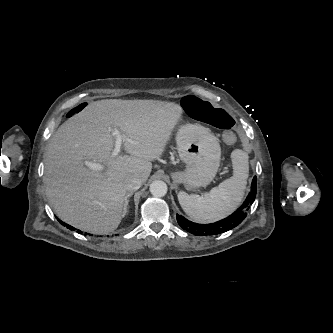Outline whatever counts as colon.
<instances>
[{"label": "colon", "mask_w": 333, "mask_h": 333, "mask_svg": "<svg viewBox=\"0 0 333 333\" xmlns=\"http://www.w3.org/2000/svg\"><path fill=\"white\" fill-rule=\"evenodd\" d=\"M182 106L189 116L213 127L222 130H231L234 125L232 117L225 110L216 108L212 103L198 96L189 95L184 97ZM85 107L86 104H79L72 108L67 116L72 117L78 115Z\"/></svg>", "instance_id": "5ec220e1"}]
</instances>
